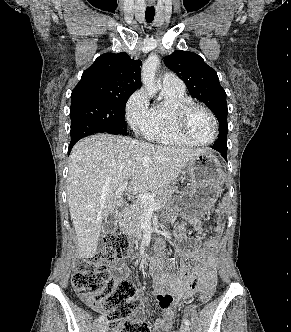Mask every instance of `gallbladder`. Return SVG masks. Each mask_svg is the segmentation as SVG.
I'll return each instance as SVG.
<instances>
[{
  "label": "gallbladder",
  "mask_w": 291,
  "mask_h": 332,
  "mask_svg": "<svg viewBox=\"0 0 291 332\" xmlns=\"http://www.w3.org/2000/svg\"><path fill=\"white\" fill-rule=\"evenodd\" d=\"M117 230L116 213H111L104 222L103 234H114Z\"/></svg>",
  "instance_id": "obj_1"
}]
</instances>
